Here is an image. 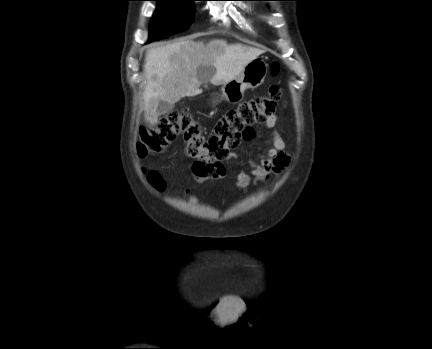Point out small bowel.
<instances>
[{
  "mask_svg": "<svg viewBox=\"0 0 432 349\" xmlns=\"http://www.w3.org/2000/svg\"><path fill=\"white\" fill-rule=\"evenodd\" d=\"M264 125L270 129L271 135L267 150L258 159L249 161L248 170H240L237 173V185L241 188L247 187L251 183L252 178H255L257 181H265L272 173L282 169L288 161L284 152L286 147L285 140L276 128L277 117L275 115L268 117L264 121ZM252 138L247 140H251ZM191 173L197 182L205 183L223 178L225 176V168L208 169L201 163L195 162L191 165ZM191 200L196 202L197 198L192 196Z\"/></svg>",
  "mask_w": 432,
  "mask_h": 349,
  "instance_id": "obj_1",
  "label": "small bowel"
}]
</instances>
